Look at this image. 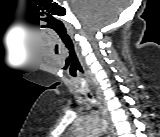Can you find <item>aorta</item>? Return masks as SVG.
<instances>
[{"label": "aorta", "instance_id": "762f6f07", "mask_svg": "<svg viewBox=\"0 0 160 137\" xmlns=\"http://www.w3.org/2000/svg\"><path fill=\"white\" fill-rule=\"evenodd\" d=\"M103 125L102 124H99V130H103Z\"/></svg>", "mask_w": 160, "mask_h": 137}]
</instances>
